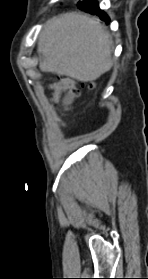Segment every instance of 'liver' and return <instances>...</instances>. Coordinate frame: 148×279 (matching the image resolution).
Listing matches in <instances>:
<instances>
[{
    "instance_id": "obj_1",
    "label": "liver",
    "mask_w": 148,
    "mask_h": 279,
    "mask_svg": "<svg viewBox=\"0 0 148 279\" xmlns=\"http://www.w3.org/2000/svg\"><path fill=\"white\" fill-rule=\"evenodd\" d=\"M109 34L100 21L78 13L51 18L39 35L42 69L81 82L98 79L113 65Z\"/></svg>"
}]
</instances>
